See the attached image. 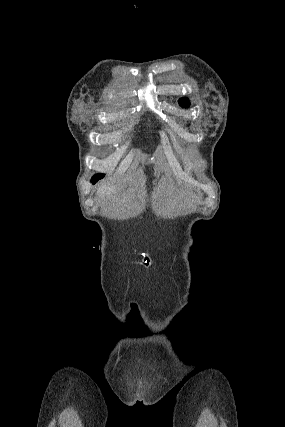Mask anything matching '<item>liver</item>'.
Returning <instances> with one entry per match:
<instances>
[{
    "label": "liver",
    "mask_w": 285,
    "mask_h": 427,
    "mask_svg": "<svg viewBox=\"0 0 285 427\" xmlns=\"http://www.w3.org/2000/svg\"><path fill=\"white\" fill-rule=\"evenodd\" d=\"M118 190L119 189L112 184H105L98 188L97 194L101 199H110L116 197Z\"/></svg>",
    "instance_id": "obj_1"
}]
</instances>
